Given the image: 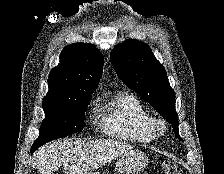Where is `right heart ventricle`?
Segmentation results:
<instances>
[{"instance_id":"1","label":"right heart ventricle","mask_w":224,"mask_h":174,"mask_svg":"<svg viewBox=\"0 0 224 174\" xmlns=\"http://www.w3.org/2000/svg\"><path fill=\"white\" fill-rule=\"evenodd\" d=\"M100 126L109 137L137 143H148L155 138L149 130L148 111L136 96L121 92L103 102Z\"/></svg>"}]
</instances>
